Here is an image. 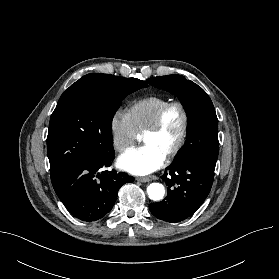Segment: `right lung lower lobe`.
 <instances>
[{
	"mask_svg": "<svg viewBox=\"0 0 279 279\" xmlns=\"http://www.w3.org/2000/svg\"><path fill=\"white\" fill-rule=\"evenodd\" d=\"M113 158L114 153L81 161L52 180L56 194L74 217L86 222L102 218L110 212L122 185L134 180L114 170L100 172Z\"/></svg>",
	"mask_w": 279,
	"mask_h": 279,
	"instance_id": "1",
	"label": "right lung lower lobe"
}]
</instances>
